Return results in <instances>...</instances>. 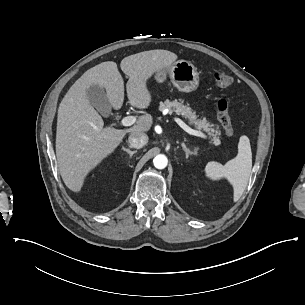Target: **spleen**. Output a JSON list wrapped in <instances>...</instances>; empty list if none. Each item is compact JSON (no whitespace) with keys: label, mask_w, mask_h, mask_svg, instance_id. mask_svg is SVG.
<instances>
[{"label":"spleen","mask_w":305,"mask_h":305,"mask_svg":"<svg viewBox=\"0 0 305 305\" xmlns=\"http://www.w3.org/2000/svg\"><path fill=\"white\" fill-rule=\"evenodd\" d=\"M252 169V152L247 135L242 134L237 144V154L234 158L222 164L209 161L203 169L204 177L208 181H227L233 189V202L236 203L246 189Z\"/></svg>","instance_id":"3e777b00"}]
</instances>
